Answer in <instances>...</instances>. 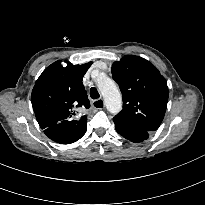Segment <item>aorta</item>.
<instances>
[{
	"label": "aorta",
	"instance_id": "762f6f07",
	"mask_svg": "<svg viewBox=\"0 0 205 205\" xmlns=\"http://www.w3.org/2000/svg\"><path fill=\"white\" fill-rule=\"evenodd\" d=\"M97 86L104 98L107 110L117 114L122 109V96L116 83L106 76L97 79Z\"/></svg>",
	"mask_w": 205,
	"mask_h": 205
}]
</instances>
